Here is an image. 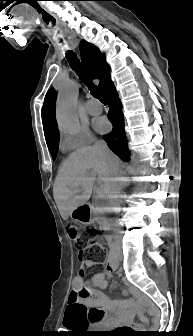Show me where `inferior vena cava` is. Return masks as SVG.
Wrapping results in <instances>:
<instances>
[{
  "mask_svg": "<svg viewBox=\"0 0 193 336\" xmlns=\"http://www.w3.org/2000/svg\"><path fill=\"white\" fill-rule=\"evenodd\" d=\"M94 147L100 152L102 156H104V163L108 165V169L112 170L114 173H117L119 171V164L117 162L112 163V160L109 157V149L105 142L103 141H97L94 144ZM118 178H114L111 180L110 190L108 194V198L111 202V204L114 207H117L120 205V190L118 187Z\"/></svg>",
  "mask_w": 193,
  "mask_h": 336,
  "instance_id": "602c4592",
  "label": "inferior vena cava"
}]
</instances>
